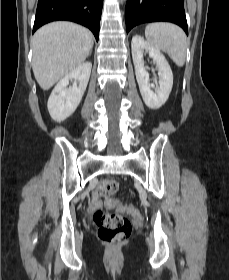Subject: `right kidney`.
Masks as SVG:
<instances>
[{
	"mask_svg": "<svg viewBox=\"0 0 229 280\" xmlns=\"http://www.w3.org/2000/svg\"><path fill=\"white\" fill-rule=\"evenodd\" d=\"M92 64L82 63L63 77L53 89L48 99V111L54 121L61 122L74 113L86 90ZM74 80L68 88L69 81Z\"/></svg>",
	"mask_w": 229,
	"mask_h": 280,
	"instance_id": "1",
	"label": "right kidney"
}]
</instances>
